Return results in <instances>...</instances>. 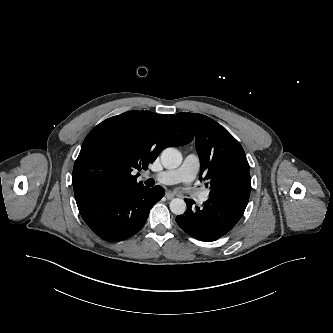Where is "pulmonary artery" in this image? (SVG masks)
Wrapping results in <instances>:
<instances>
[{
	"label": "pulmonary artery",
	"instance_id": "pulmonary-artery-1",
	"mask_svg": "<svg viewBox=\"0 0 333 333\" xmlns=\"http://www.w3.org/2000/svg\"><path fill=\"white\" fill-rule=\"evenodd\" d=\"M200 168V160L196 154H188L180 167L173 170L158 172L153 177L160 183L170 185L175 183H190L196 177ZM209 198V190H204L199 194L201 201Z\"/></svg>",
	"mask_w": 333,
	"mask_h": 333
}]
</instances>
